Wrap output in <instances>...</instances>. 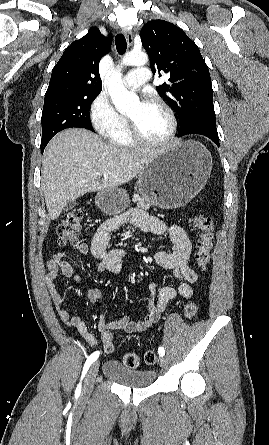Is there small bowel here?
I'll return each instance as SVG.
<instances>
[{
    "instance_id": "obj_1",
    "label": "small bowel",
    "mask_w": 269,
    "mask_h": 445,
    "mask_svg": "<svg viewBox=\"0 0 269 445\" xmlns=\"http://www.w3.org/2000/svg\"><path fill=\"white\" fill-rule=\"evenodd\" d=\"M128 221L138 227L141 231L154 235L168 234L173 243L171 251H159L154 255V261L159 267L169 270L179 280L178 286H164L158 288L155 283H149L148 289L151 300L146 314L137 321L128 317L115 320H107L101 315L98 327L102 332V340L106 334L114 330H123L127 333H136L147 330L156 323L165 311L168 303L180 296L189 299L193 295L192 285L197 281L198 274L191 265V242L185 230L178 224L167 226L163 221L148 215L141 209H132L124 217L103 222L95 231L90 247L81 242L77 245L76 255H86L88 252L97 258L96 271L98 273L110 272L116 276L122 272V260L125 251L121 248L108 249L110 237L118 227ZM72 254L58 251L47 261L46 284L57 313L63 323L82 335L90 344L97 345V339L89 332L86 323L79 317L72 316L64 305L63 298L57 288L56 279L59 274L66 278L73 276V267L69 262ZM77 285L81 284L79 277H75ZM103 297L100 289H91L87 299L90 303H96Z\"/></svg>"
}]
</instances>
